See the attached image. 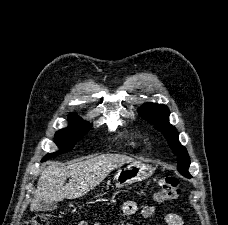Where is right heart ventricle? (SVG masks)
<instances>
[{
  "instance_id": "e07e8e85",
  "label": "right heart ventricle",
  "mask_w": 228,
  "mask_h": 225,
  "mask_svg": "<svg viewBox=\"0 0 228 225\" xmlns=\"http://www.w3.org/2000/svg\"><path fill=\"white\" fill-rule=\"evenodd\" d=\"M129 146L135 148L138 146V143L134 140H131V141H129Z\"/></svg>"
}]
</instances>
